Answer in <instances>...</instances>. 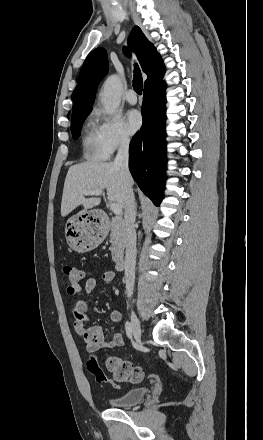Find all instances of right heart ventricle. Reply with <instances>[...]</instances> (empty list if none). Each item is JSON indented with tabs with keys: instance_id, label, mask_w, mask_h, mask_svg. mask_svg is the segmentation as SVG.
<instances>
[{
	"instance_id": "1",
	"label": "right heart ventricle",
	"mask_w": 263,
	"mask_h": 440,
	"mask_svg": "<svg viewBox=\"0 0 263 440\" xmlns=\"http://www.w3.org/2000/svg\"><path fill=\"white\" fill-rule=\"evenodd\" d=\"M82 146L83 155L88 160H103L108 156L101 145L98 126L92 119L87 123Z\"/></svg>"
}]
</instances>
